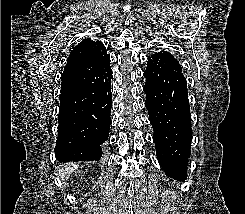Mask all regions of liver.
<instances>
[{
  "instance_id": "6515ba94",
  "label": "liver",
  "mask_w": 245,
  "mask_h": 214,
  "mask_svg": "<svg viewBox=\"0 0 245 214\" xmlns=\"http://www.w3.org/2000/svg\"><path fill=\"white\" fill-rule=\"evenodd\" d=\"M77 168H78V164H73V163L62 166L59 170V176L61 181L65 182L69 178L70 174L73 171H75Z\"/></svg>"
}]
</instances>
